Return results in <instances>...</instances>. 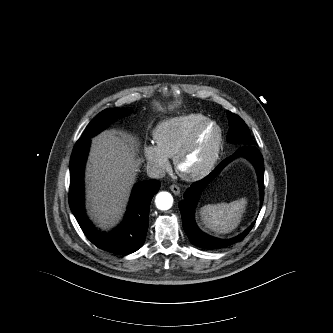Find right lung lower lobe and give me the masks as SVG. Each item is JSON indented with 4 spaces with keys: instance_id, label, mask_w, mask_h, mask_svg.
<instances>
[{
    "instance_id": "98d812e1",
    "label": "right lung lower lobe",
    "mask_w": 333,
    "mask_h": 333,
    "mask_svg": "<svg viewBox=\"0 0 333 333\" xmlns=\"http://www.w3.org/2000/svg\"><path fill=\"white\" fill-rule=\"evenodd\" d=\"M90 138L77 141L70 159L69 204L82 231L98 248L117 254H130L144 243L152 197L158 192L160 182L148 180L134 186L122 224L110 233L97 230L84 211L83 173L90 146Z\"/></svg>"
}]
</instances>
